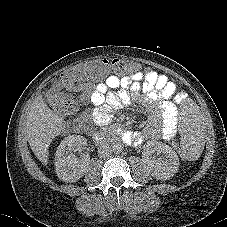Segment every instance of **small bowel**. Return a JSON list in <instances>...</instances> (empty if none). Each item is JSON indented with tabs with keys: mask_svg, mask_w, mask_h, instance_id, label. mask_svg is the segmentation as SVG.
I'll return each mask as SVG.
<instances>
[{
	"mask_svg": "<svg viewBox=\"0 0 227 227\" xmlns=\"http://www.w3.org/2000/svg\"><path fill=\"white\" fill-rule=\"evenodd\" d=\"M116 91V92H115ZM174 98V101L172 100ZM81 99L94 106L92 118L96 125H107L113 110L120 103L138 101L150 111L148 125L143 132L118 128L119 137L127 144H140L146 138L170 141L177 133L176 104L183 100L174 82L154 70H139L132 76H107Z\"/></svg>",
	"mask_w": 227,
	"mask_h": 227,
	"instance_id": "obj_1",
	"label": "small bowel"
}]
</instances>
